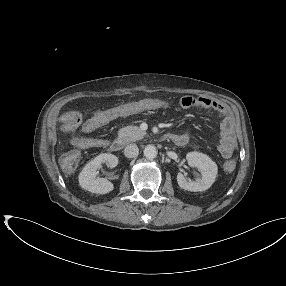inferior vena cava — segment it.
I'll use <instances>...</instances> for the list:
<instances>
[{"label":"inferior vena cava","mask_w":286,"mask_h":286,"mask_svg":"<svg viewBox=\"0 0 286 286\" xmlns=\"http://www.w3.org/2000/svg\"><path fill=\"white\" fill-rule=\"evenodd\" d=\"M139 154V148L136 144H129L124 149V155L127 158H134L138 156Z\"/></svg>","instance_id":"obj_1"}]
</instances>
